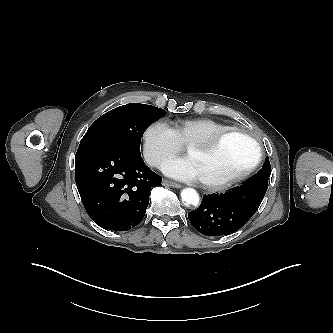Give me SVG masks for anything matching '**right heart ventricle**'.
<instances>
[{
  "mask_svg": "<svg viewBox=\"0 0 333 333\" xmlns=\"http://www.w3.org/2000/svg\"><path fill=\"white\" fill-rule=\"evenodd\" d=\"M230 128V126L210 118L181 119L175 121L172 127L183 146Z\"/></svg>",
  "mask_w": 333,
  "mask_h": 333,
  "instance_id": "obj_1",
  "label": "right heart ventricle"
}]
</instances>
